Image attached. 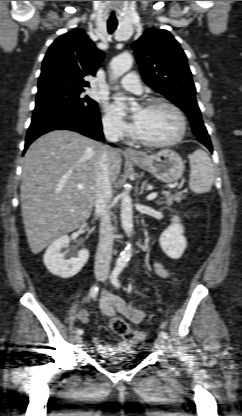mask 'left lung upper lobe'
Returning <instances> with one entry per match:
<instances>
[{
	"label": "left lung upper lobe",
	"mask_w": 242,
	"mask_h": 416,
	"mask_svg": "<svg viewBox=\"0 0 242 416\" xmlns=\"http://www.w3.org/2000/svg\"><path fill=\"white\" fill-rule=\"evenodd\" d=\"M132 48L145 83L186 113L200 142L209 140L187 57L176 39L167 30L148 29Z\"/></svg>",
	"instance_id": "5c2ea615"
}]
</instances>
